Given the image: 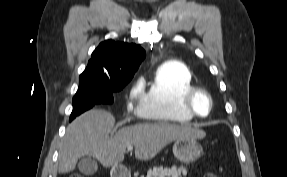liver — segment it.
<instances>
[{"instance_id":"6515ba94","label":"liver","mask_w":287,"mask_h":177,"mask_svg":"<svg viewBox=\"0 0 287 177\" xmlns=\"http://www.w3.org/2000/svg\"><path fill=\"white\" fill-rule=\"evenodd\" d=\"M115 125L113 115L93 109L77 117L66 129L59 150L58 172L75 169L78 159L95 157L104 167L117 166L124 160L126 147H135V158L150 160L166 145L183 137L202 139L206 133L189 125L139 123L121 128L109 138Z\"/></svg>"}]
</instances>
